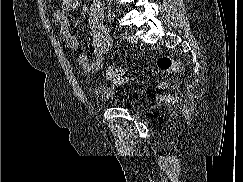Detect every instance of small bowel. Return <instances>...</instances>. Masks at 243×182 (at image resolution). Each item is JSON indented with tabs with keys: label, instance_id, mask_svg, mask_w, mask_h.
<instances>
[{
	"label": "small bowel",
	"instance_id": "c3829d8e",
	"mask_svg": "<svg viewBox=\"0 0 243 182\" xmlns=\"http://www.w3.org/2000/svg\"><path fill=\"white\" fill-rule=\"evenodd\" d=\"M78 0H61V7L54 11L53 18L60 28V34L65 44L74 51L80 50L79 38L70 31L68 14L78 8ZM104 7L100 0H93L89 9V23L92 32V50L95 60L80 53L77 62L81 69L90 74L96 73L103 65L105 54L112 49L113 39L103 22Z\"/></svg>",
	"mask_w": 243,
	"mask_h": 182
}]
</instances>
